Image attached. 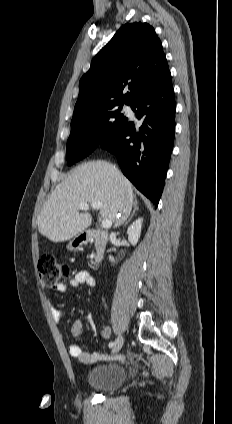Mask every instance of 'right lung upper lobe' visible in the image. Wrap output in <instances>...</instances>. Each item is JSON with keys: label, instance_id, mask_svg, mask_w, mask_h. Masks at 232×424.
<instances>
[{"label": "right lung upper lobe", "instance_id": "obj_1", "mask_svg": "<svg viewBox=\"0 0 232 424\" xmlns=\"http://www.w3.org/2000/svg\"><path fill=\"white\" fill-rule=\"evenodd\" d=\"M168 71L154 28L147 23H127L94 57L81 78L73 118L95 108L131 105ZM127 87L129 92L123 94Z\"/></svg>", "mask_w": 232, "mask_h": 424}]
</instances>
